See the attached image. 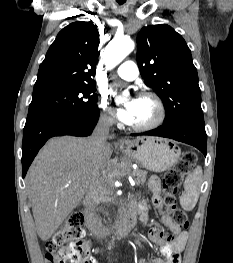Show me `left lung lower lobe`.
<instances>
[{"mask_svg": "<svg viewBox=\"0 0 233 263\" xmlns=\"http://www.w3.org/2000/svg\"><path fill=\"white\" fill-rule=\"evenodd\" d=\"M136 135H152L171 138L198 148L206 156L207 135L205 126L197 122H180L162 126Z\"/></svg>", "mask_w": 233, "mask_h": 263, "instance_id": "obj_1", "label": "left lung lower lobe"}]
</instances>
